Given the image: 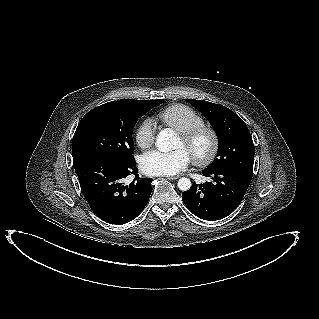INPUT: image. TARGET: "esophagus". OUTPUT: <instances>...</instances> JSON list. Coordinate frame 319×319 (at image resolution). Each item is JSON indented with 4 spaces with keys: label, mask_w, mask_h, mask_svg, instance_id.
I'll return each mask as SVG.
<instances>
[{
    "label": "esophagus",
    "mask_w": 319,
    "mask_h": 319,
    "mask_svg": "<svg viewBox=\"0 0 319 319\" xmlns=\"http://www.w3.org/2000/svg\"><path fill=\"white\" fill-rule=\"evenodd\" d=\"M178 178H179V176H168L167 177V179H169V180H176Z\"/></svg>",
    "instance_id": "1"
}]
</instances>
